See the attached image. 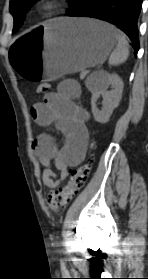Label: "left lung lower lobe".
Segmentation results:
<instances>
[{"label": "left lung lower lobe", "instance_id": "left-lung-lower-lobe-1", "mask_svg": "<svg viewBox=\"0 0 148 279\" xmlns=\"http://www.w3.org/2000/svg\"><path fill=\"white\" fill-rule=\"evenodd\" d=\"M142 0H78L67 16H84L110 22L124 31L139 50L138 17Z\"/></svg>", "mask_w": 148, "mask_h": 279}]
</instances>
